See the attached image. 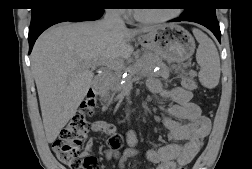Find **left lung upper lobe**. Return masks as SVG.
I'll return each mask as SVG.
<instances>
[{
    "instance_id": "5c2ea615",
    "label": "left lung upper lobe",
    "mask_w": 252,
    "mask_h": 169,
    "mask_svg": "<svg viewBox=\"0 0 252 169\" xmlns=\"http://www.w3.org/2000/svg\"><path fill=\"white\" fill-rule=\"evenodd\" d=\"M189 7L185 8L183 17H193L197 15L216 14L214 0H189Z\"/></svg>"
}]
</instances>
